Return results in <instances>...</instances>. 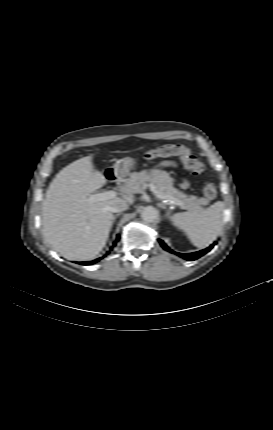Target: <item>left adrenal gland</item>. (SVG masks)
I'll list each match as a JSON object with an SVG mask.
<instances>
[{
	"mask_svg": "<svg viewBox=\"0 0 273 430\" xmlns=\"http://www.w3.org/2000/svg\"><path fill=\"white\" fill-rule=\"evenodd\" d=\"M160 207H162L163 209L167 210L166 217L170 218V211L166 208V206L164 204H160Z\"/></svg>",
	"mask_w": 273,
	"mask_h": 430,
	"instance_id": "obj_1",
	"label": "left adrenal gland"
}]
</instances>
